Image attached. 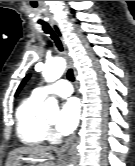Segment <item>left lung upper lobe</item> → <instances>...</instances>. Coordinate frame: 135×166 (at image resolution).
<instances>
[{
  "mask_svg": "<svg viewBox=\"0 0 135 166\" xmlns=\"http://www.w3.org/2000/svg\"><path fill=\"white\" fill-rule=\"evenodd\" d=\"M29 77H30V74L27 75V76L23 79V81L21 82V84L19 85V87H18V89H17V92H16L15 96L19 93V91H20L21 88L24 86V84H25L26 81L29 79Z\"/></svg>",
  "mask_w": 135,
  "mask_h": 166,
  "instance_id": "left-lung-upper-lobe-1",
  "label": "left lung upper lobe"
}]
</instances>
